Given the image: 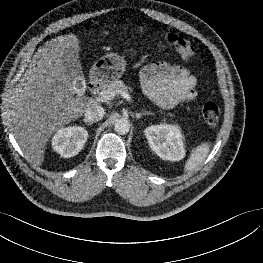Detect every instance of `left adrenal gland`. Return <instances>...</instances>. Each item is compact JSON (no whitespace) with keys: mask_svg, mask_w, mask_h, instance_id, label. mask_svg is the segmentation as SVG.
Listing matches in <instances>:
<instances>
[{"mask_svg":"<svg viewBox=\"0 0 263 263\" xmlns=\"http://www.w3.org/2000/svg\"><path fill=\"white\" fill-rule=\"evenodd\" d=\"M143 115H153V113L152 112H148V111H142V112H140V113H136L135 114V117L137 118V119H140Z\"/></svg>","mask_w":263,"mask_h":263,"instance_id":"left-adrenal-gland-1","label":"left adrenal gland"}]
</instances>
